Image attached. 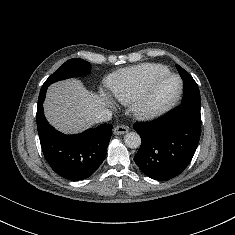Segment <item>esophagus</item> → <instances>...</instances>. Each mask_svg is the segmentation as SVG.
Returning <instances> with one entry per match:
<instances>
[{
    "label": "esophagus",
    "mask_w": 235,
    "mask_h": 235,
    "mask_svg": "<svg viewBox=\"0 0 235 235\" xmlns=\"http://www.w3.org/2000/svg\"><path fill=\"white\" fill-rule=\"evenodd\" d=\"M114 134L116 135H121V134H125L128 132V127L124 126V125H118L114 128Z\"/></svg>",
    "instance_id": "obj_1"
}]
</instances>
